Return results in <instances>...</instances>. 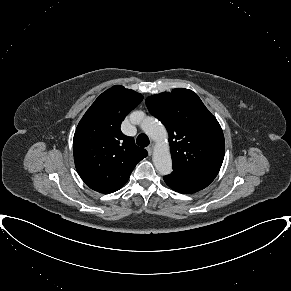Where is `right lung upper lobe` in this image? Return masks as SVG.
<instances>
[{
    "mask_svg": "<svg viewBox=\"0 0 291 291\" xmlns=\"http://www.w3.org/2000/svg\"><path fill=\"white\" fill-rule=\"evenodd\" d=\"M142 100L140 93L113 86L98 96L79 122L73 139L74 162L91 189L104 194L119 190L148 155L120 130L126 115Z\"/></svg>",
    "mask_w": 291,
    "mask_h": 291,
    "instance_id": "1",
    "label": "right lung upper lobe"
}]
</instances>
